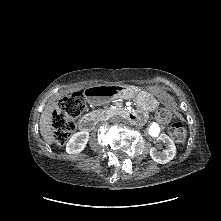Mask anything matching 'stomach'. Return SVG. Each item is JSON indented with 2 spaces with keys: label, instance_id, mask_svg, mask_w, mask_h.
<instances>
[{
  "label": "stomach",
  "instance_id": "obj_1",
  "mask_svg": "<svg viewBox=\"0 0 221 221\" xmlns=\"http://www.w3.org/2000/svg\"><path fill=\"white\" fill-rule=\"evenodd\" d=\"M126 95L135 100L138 104L145 108H152L156 104V100L153 95L144 90H137L133 88H128L126 90Z\"/></svg>",
  "mask_w": 221,
  "mask_h": 221
}]
</instances>
